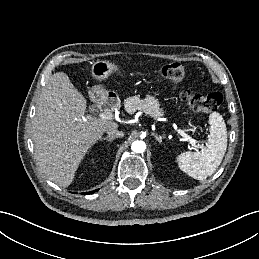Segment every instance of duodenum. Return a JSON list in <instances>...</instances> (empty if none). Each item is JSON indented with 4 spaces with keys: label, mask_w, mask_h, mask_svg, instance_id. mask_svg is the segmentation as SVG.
<instances>
[{
    "label": "duodenum",
    "mask_w": 259,
    "mask_h": 259,
    "mask_svg": "<svg viewBox=\"0 0 259 259\" xmlns=\"http://www.w3.org/2000/svg\"><path fill=\"white\" fill-rule=\"evenodd\" d=\"M118 103L117 98L113 94H108L99 101V105L103 109H113Z\"/></svg>",
    "instance_id": "duodenum-1"
}]
</instances>
